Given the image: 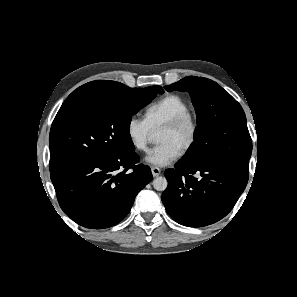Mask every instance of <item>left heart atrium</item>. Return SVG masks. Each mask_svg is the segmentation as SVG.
Here are the masks:
<instances>
[{
    "mask_svg": "<svg viewBox=\"0 0 297 297\" xmlns=\"http://www.w3.org/2000/svg\"><path fill=\"white\" fill-rule=\"evenodd\" d=\"M180 155V150L171 143H161L150 151L146 162L154 167H165L174 162Z\"/></svg>",
    "mask_w": 297,
    "mask_h": 297,
    "instance_id": "obj_1",
    "label": "left heart atrium"
}]
</instances>
